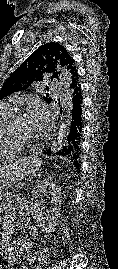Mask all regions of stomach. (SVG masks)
<instances>
[{
  "label": "stomach",
  "mask_w": 118,
  "mask_h": 269,
  "mask_svg": "<svg viewBox=\"0 0 118 269\" xmlns=\"http://www.w3.org/2000/svg\"><path fill=\"white\" fill-rule=\"evenodd\" d=\"M40 165L38 157L27 156L0 166V195L7 185L35 174Z\"/></svg>",
  "instance_id": "obj_1"
}]
</instances>
